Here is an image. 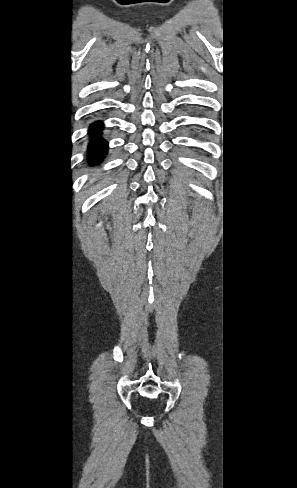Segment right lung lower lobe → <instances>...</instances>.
Masks as SVG:
<instances>
[{
    "label": "right lung lower lobe",
    "mask_w": 297,
    "mask_h": 488,
    "mask_svg": "<svg viewBox=\"0 0 297 488\" xmlns=\"http://www.w3.org/2000/svg\"><path fill=\"white\" fill-rule=\"evenodd\" d=\"M102 123L96 122L90 126L89 135L92 138L88 147L89 160L92 162H99L107 153V142L101 137Z\"/></svg>",
    "instance_id": "98d812e1"
}]
</instances>
